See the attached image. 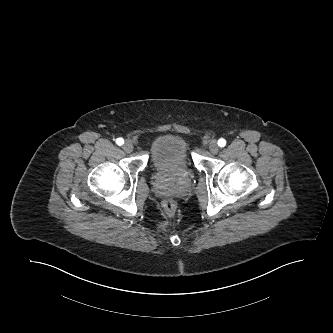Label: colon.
<instances>
[{"label":"colon","instance_id":"5ec220e1","mask_svg":"<svg viewBox=\"0 0 333 333\" xmlns=\"http://www.w3.org/2000/svg\"><path fill=\"white\" fill-rule=\"evenodd\" d=\"M176 209V203L173 200H167L164 202V210L168 214H171Z\"/></svg>","mask_w":333,"mask_h":333}]
</instances>
